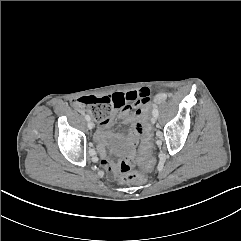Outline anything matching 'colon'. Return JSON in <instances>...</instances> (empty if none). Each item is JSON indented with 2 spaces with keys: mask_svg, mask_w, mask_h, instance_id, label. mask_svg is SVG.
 <instances>
[{
  "mask_svg": "<svg viewBox=\"0 0 241 241\" xmlns=\"http://www.w3.org/2000/svg\"><path fill=\"white\" fill-rule=\"evenodd\" d=\"M76 107L82 111L89 113L93 119L99 123H102L109 119L114 109V102L110 97H95V96H83L75 102ZM149 106L142 108V118L145 121L142 127V139H141V158L139 162L140 171H132V160L129 157H123L118 163V169L121 173L120 181L122 183H143L146 178V173L152 166L151 161V128L152 123L148 120L147 110Z\"/></svg>",
  "mask_w": 241,
  "mask_h": 241,
  "instance_id": "colon-1",
  "label": "colon"
}]
</instances>
